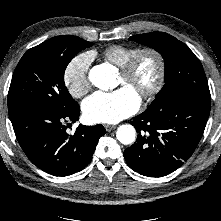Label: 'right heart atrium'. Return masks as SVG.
<instances>
[{
	"label": "right heart atrium",
	"instance_id": "d8ad5b80",
	"mask_svg": "<svg viewBox=\"0 0 221 221\" xmlns=\"http://www.w3.org/2000/svg\"><path fill=\"white\" fill-rule=\"evenodd\" d=\"M92 59L93 55L90 52L78 54L70 60L64 70V84L74 98H81L90 90L88 71Z\"/></svg>",
	"mask_w": 221,
	"mask_h": 221
}]
</instances>
